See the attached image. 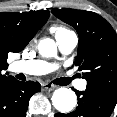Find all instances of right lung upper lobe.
Masks as SVG:
<instances>
[{"instance_id":"right-lung-upper-lobe-1","label":"right lung upper lobe","mask_w":117,"mask_h":117,"mask_svg":"<svg viewBox=\"0 0 117 117\" xmlns=\"http://www.w3.org/2000/svg\"><path fill=\"white\" fill-rule=\"evenodd\" d=\"M49 16L47 10L0 13V84L13 79L1 73L8 66V54L22 51Z\"/></svg>"}]
</instances>
